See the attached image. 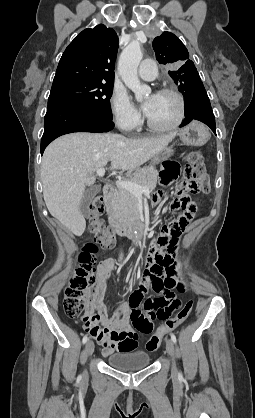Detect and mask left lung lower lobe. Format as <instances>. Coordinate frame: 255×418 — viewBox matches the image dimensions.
<instances>
[{
	"mask_svg": "<svg viewBox=\"0 0 255 418\" xmlns=\"http://www.w3.org/2000/svg\"><path fill=\"white\" fill-rule=\"evenodd\" d=\"M185 119L180 127L192 120H199L208 125L216 134L215 117L205 88L192 91L184 96Z\"/></svg>",
	"mask_w": 255,
	"mask_h": 418,
	"instance_id": "0a47b994",
	"label": "left lung lower lobe"
}]
</instances>
